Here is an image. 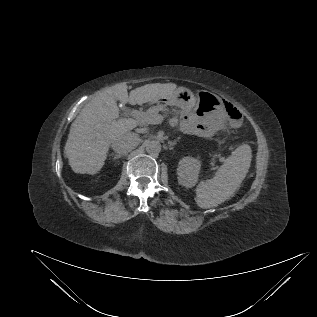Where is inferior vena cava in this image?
Instances as JSON below:
<instances>
[{
  "mask_svg": "<svg viewBox=\"0 0 317 317\" xmlns=\"http://www.w3.org/2000/svg\"><path fill=\"white\" fill-rule=\"evenodd\" d=\"M140 138L135 133H127L112 142V149L119 155H127L139 144Z\"/></svg>",
  "mask_w": 317,
  "mask_h": 317,
  "instance_id": "inferior-vena-cava-1",
  "label": "inferior vena cava"
}]
</instances>
